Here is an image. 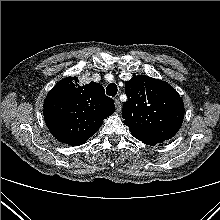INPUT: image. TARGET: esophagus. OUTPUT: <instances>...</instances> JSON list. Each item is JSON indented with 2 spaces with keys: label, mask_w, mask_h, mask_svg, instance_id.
<instances>
[{
  "label": "esophagus",
  "mask_w": 220,
  "mask_h": 220,
  "mask_svg": "<svg viewBox=\"0 0 220 220\" xmlns=\"http://www.w3.org/2000/svg\"><path fill=\"white\" fill-rule=\"evenodd\" d=\"M115 107H116L117 112L121 111L122 106H121L119 99H115Z\"/></svg>",
  "instance_id": "34e87169"
}]
</instances>
